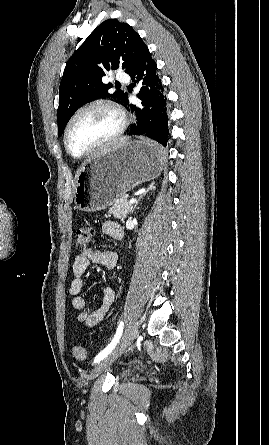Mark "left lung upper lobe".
I'll use <instances>...</instances> for the list:
<instances>
[{
  "mask_svg": "<svg viewBox=\"0 0 269 445\" xmlns=\"http://www.w3.org/2000/svg\"><path fill=\"white\" fill-rule=\"evenodd\" d=\"M148 49L127 23L110 19L102 22L68 60L59 87L57 111L59 136L78 108L97 98L125 100L121 90L113 94L102 78L110 70L124 69L128 74Z\"/></svg>",
  "mask_w": 269,
  "mask_h": 445,
  "instance_id": "5c2ea615",
  "label": "left lung upper lobe"
}]
</instances>
